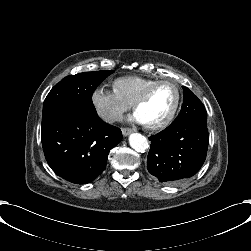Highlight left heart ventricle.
Listing matches in <instances>:
<instances>
[{"label": "left heart ventricle", "mask_w": 251, "mask_h": 251, "mask_svg": "<svg viewBox=\"0 0 251 251\" xmlns=\"http://www.w3.org/2000/svg\"><path fill=\"white\" fill-rule=\"evenodd\" d=\"M177 101V89L174 84H160L148 101L138 109L144 123L155 124L163 121L174 108Z\"/></svg>", "instance_id": "left-heart-ventricle-1"}]
</instances>
